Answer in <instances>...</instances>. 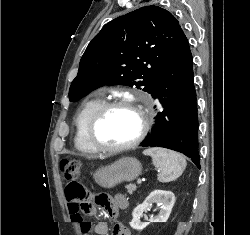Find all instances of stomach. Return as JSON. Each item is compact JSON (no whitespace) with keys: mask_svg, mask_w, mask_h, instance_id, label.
Listing matches in <instances>:
<instances>
[{"mask_svg":"<svg viewBox=\"0 0 250 235\" xmlns=\"http://www.w3.org/2000/svg\"><path fill=\"white\" fill-rule=\"evenodd\" d=\"M141 172L142 165L136 158L123 157L111 165L99 168L94 179L101 187L110 189L122 182L135 180Z\"/></svg>","mask_w":250,"mask_h":235,"instance_id":"1","label":"stomach"}]
</instances>
